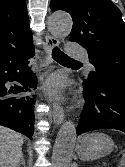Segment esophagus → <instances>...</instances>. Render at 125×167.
Returning <instances> with one entry per match:
<instances>
[{"label": "esophagus", "instance_id": "34e87169", "mask_svg": "<svg viewBox=\"0 0 125 167\" xmlns=\"http://www.w3.org/2000/svg\"><path fill=\"white\" fill-rule=\"evenodd\" d=\"M59 41L56 37L50 35V34H46L45 35V50L47 53L48 58L51 61V53L53 48H55L56 46H58ZM53 69V67L51 66L48 70V72H51V70ZM52 117H53V121L54 123L59 126L63 120H64V109L61 106L60 103H58L57 101H55L53 103V111H52Z\"/></svg>", "mask_w": 125, "mask_h": 167}]
</instances>
